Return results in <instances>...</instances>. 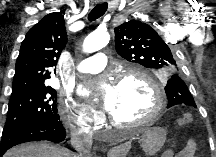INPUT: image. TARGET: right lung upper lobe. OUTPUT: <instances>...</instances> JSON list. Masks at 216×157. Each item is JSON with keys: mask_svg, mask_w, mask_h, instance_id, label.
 Instances as JSON below:
<instances>
[{"mask_svg": "<svg viewBox=\"0 0 216 157\" xmlns=\"http://www.w3.org/2000/svg\"><path fill=\"white\" fill-rule=\"evenodd\" d=\"M67 42L64 17L50 13L26 34L15 65L12 94L26 89L45 87L49 69L56 65Z\"/></svg>", "mask_w": 216, "mask_h": 157, "instance_id": "obj_1", "label": "right lung upper lobe"}]
</instances>
